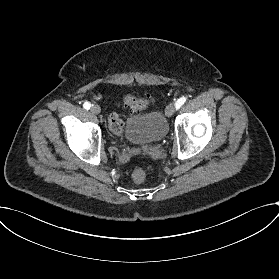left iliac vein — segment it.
Listing matches in <instances>:
<instances>
[{"instance_id":"obj_1","label":"left iliac vein","mask_w":279,"mask_h":279,"mask_svg":"<svg viewBox=\"0 0 279 279\" xmlns=\"http://www.w3.org/2000/svg\"><path fill=\"white\" fill-rule=\"evenodd\" d=\"M176 111V105L174 103H170L166 108V115L171 117Z\"/></svg>"}]
</instances>
